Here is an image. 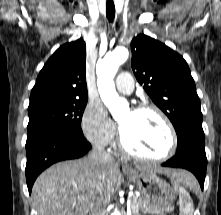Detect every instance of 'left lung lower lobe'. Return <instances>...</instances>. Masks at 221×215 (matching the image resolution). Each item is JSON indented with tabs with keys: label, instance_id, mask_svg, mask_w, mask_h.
I'll list each match as a JSON object with an SVG mask.
<instances>
[{
	"label": "left lung lower lobe",
	"instance_id": "obj_1",
	"mask_svg": "<svg viewBox=\"0 0 221 215\" xmlns=\"http://www.w3.org/2000/svg\"><path fill=\"white\" fill-rule=\"evenodd\" d=\"M162 166L183 168L191 171L198 179L201 189H203L207 166L203 129H185L182 135L178 137L175 156L164 162Z\"/></svg>",
	"mask_w": 221,
	"mask_h": 215
}]
</instances>
